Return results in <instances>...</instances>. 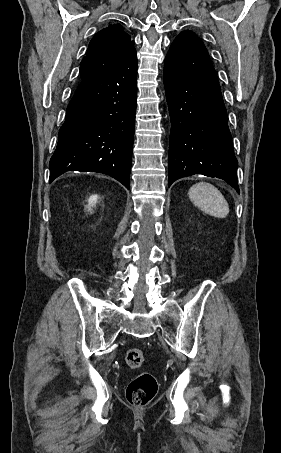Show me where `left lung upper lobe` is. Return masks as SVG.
Segmentation results:
<instances>
[{
  "instance_id": "1",
  "label": "left lung upper lobe",
  "mask_w": 281,
  "mask_h": 453,
  "mask_svg": "<svg viewBox=\"0 0 281 453\" xmlns=\"http://www.w3.org/2000/svg\"><path fill=\"white\" fill-rule=\"evenodd\" d=\"M185 34H187V35H189V34L194 35V33L191 32V31H184V32L180 33L179 35H185Z\"/></svg>"
}]
</instances>
